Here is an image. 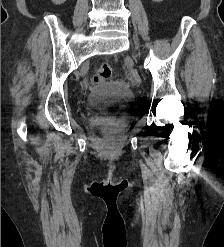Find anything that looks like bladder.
<instances>
[{"label":"bladder","mask_w":224,"mask_h":247,"mask_svg":"<svg viewBox=\"0 0 224 247\" xmlns=\"http://www.w3.org/2000/svg\"><path fill=\"white\" fill-rule=\"evenodd\" d=\"M134 93L119 83H110L93 89L85 100L88 116L108 115L126 119L131 115Z\"/></svg>","instance_id":"obj_1"}]
</instances>
